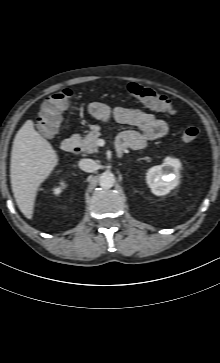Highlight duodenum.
<instances>
[{"instance_id":"obj_1","label":"duodenum","mask_w":220,"mask_h":363,"mask_svg":"<svg viewBox=\"0 0 220 363\" xmlns=\"http://www.w3.org/2000/svg\"><path fill=\"white\" fill-rule=\"evenodd\" d=\"M61 148L65 152L76 153L79 151V141L77 138H74V137L67 138V139L63 140V142L61 143ZM122 153H123V149L118 148V154L121 156Z\"/></svg>"}]
</instances>
